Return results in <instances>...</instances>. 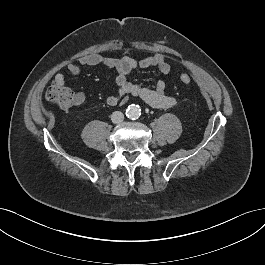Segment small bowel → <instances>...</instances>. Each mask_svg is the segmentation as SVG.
Masks as SVG:
<instances>
[{
    "label": "small bowel",
    "instance_id": "small-bowel-1",
    "mask_svg": "<svg viewBox=\"0 0 265 265\" xmlns=\"http://www.w3.org/2000/svg\"><path fill=\"white\" fill-rule=\"evenodd\" d=\"M104 65L116 71L117 89L113 94L107 97V103L115 106L121 101H125L129 95L139 97L148 105L155 108H170L176 105L177 100L166 93V83L159 80L154 88L141 87L128 81L129 74L137 68L156 67L162 74L171 73V65L163 54L157 53L151 56L135 59L133 57L116 58L111 56H103L101 54L92 53L81 56L78 63H68V72L76 76L80 73V66H96ZM54 82L64 85V76L57 73ZM86 96L83 92L74 93V106H80L85 102Z\"/></svg>",
    "mask_w": 265,
    "mask_h": 265
}]
</instances>
